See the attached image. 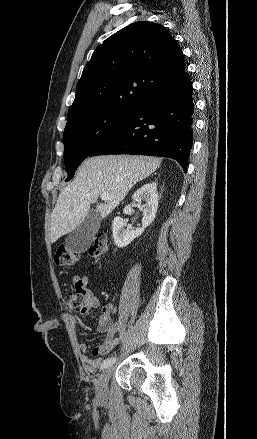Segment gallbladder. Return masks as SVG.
Segmentation results:
<instances>
[{
	"label": "gallbladder",
	"instance_id": "obj_1",
	"mask_svg": "<svg viewBox=\"0 0 257 439\" xmlns=\"http://www.w3.org/2000/svg\"><path fill=\"white\" fill-rule=\"evenodd\" d=\"M100 216L91 210L85 220L74 229L66 238V246L77 253H83L90 247L99 229Z\"/></svg>",
	"mask_w": 257,
	"mask_h": 439
}]
</instances>
